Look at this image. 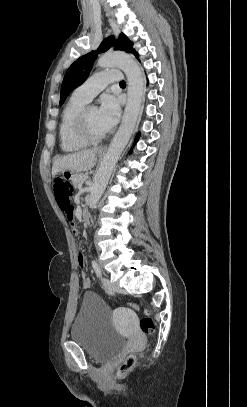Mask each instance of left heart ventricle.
Wrapping results in <instances>:
<instances>
[{
    "instance_id": "b2bd125f",
    "label": "left heart ventricle",
    "mask_w": 247,
    "mask_h": 407,
    "mask_svg": "<svg viewBox=\"0 0 247 407\" xmlns=\"http://www.w3.org/2000/svg\"><path fill=\"white\" fill-rule=\"evenodd\" d=\"M87 122L91 132L96 135L102 134L108 130L102 123L99 117V110L96 107H91L88 110Z\"/></svg>"
}]
</instances>
